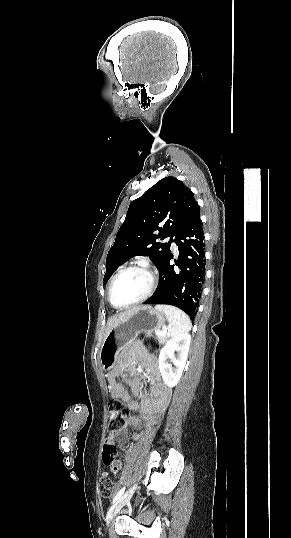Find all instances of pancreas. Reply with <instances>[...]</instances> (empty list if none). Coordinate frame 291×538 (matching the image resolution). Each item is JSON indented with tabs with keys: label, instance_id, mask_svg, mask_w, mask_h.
<instances>
[{
	"label": "pancreas",
	"instance_id": "cf45deb5",
	"mask_svg": "<svg viewBox=\"0 0 291 538\" xmlns=\"http://www.w3.org/2000/svg\"><path fill=\"white\" fill-rule=\"evenodd\" d=\"M149 334L151 335V333H149ZM155 335H156V338H157L159 344H164L168 339V336L166 334L159 335V334L155 333Z\"/></svg>",
	"mask_w": 291,
	"mask_h": 538
}]
</instances>
